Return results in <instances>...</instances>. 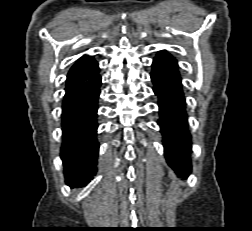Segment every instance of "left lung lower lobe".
<instances>
[{
	"instance_id": "1",
	"label": "left lung lower lobe",
	"mask_w": 252,
	"mask_h": 231,
	"mask_svg": "<svg viewBox=\"0 0 252 231\" xmlns=\"http://www.w3.org/2000/svg\"><path fill=\"white\" fill-rule=\"evenodd\" d=\"M152 69L153 90L159 97L158 125L164 139L165 157L178 175L187 177L191 172V136L187 130L186 103L177 60L165 50L159 51Z\"/></svg>"
}]
</instances>
